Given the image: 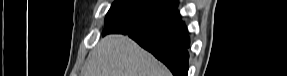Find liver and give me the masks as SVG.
<instances>
[{
  "mask_svg": "<svg viewBox=\"0 0 287 76\" xmlns=\"http://www.w3.org/2000/svg\"><path fill=\"white\" fill-rule=\"evenodd\" d=\"M84 76H170V72L129 37L108 35L89 53Z\"/></svg>",
  "mask_w": 287,
  "mask_h": 76,
  "instance_id": "6515ba94",
  "label": "liver"
}]
</instances>
